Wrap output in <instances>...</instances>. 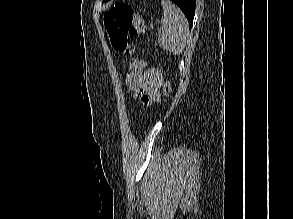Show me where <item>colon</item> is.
Segmentation results:
<instances>
[{"label": "colon", "mask_w": 293, "mask_h": 219, "mask_svg": "<svg viewBox=\"0 0 293 219\" xmlns=\"http://www.w3.org/2000/svg\"><path fill=\"white\" fill-rule=\"evenodd\" d=\"M104 27L109 36L113 50L119 54L132 55L136 47L130 42L129 35H141L145 33L143 19L135 13L133 8L126 3H116L104 16ZM144 62L132 59L129 64L131 74H141ZM172 92L169 79L163 84V94L167 98Z\"/></svg>", "instance_id": "obj_1"}]
</instances>
